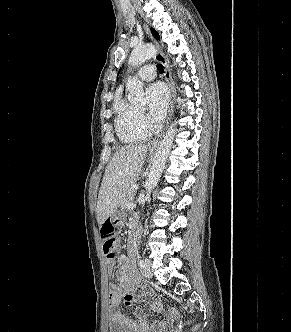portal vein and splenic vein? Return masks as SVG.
<instances>
[{
	"label": "portal vein and splenic vein",
	"mask_w": 291,
	"mask_h": 332,
	"mask_svg": "<svg viewBox=\"0 0 291 332\" xmlns=\"http://www.w3.org/2000/svg\"><path fill=\"white\" fill-rule=\"evenodd\" d=\"M134 206H135L134 203H129V204L127 205V208L130 209V208H133Z\"/></svg>",
	"instance_id": "1"
}]
</instances>
